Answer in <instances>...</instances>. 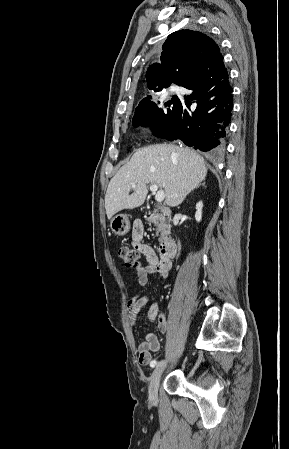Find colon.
<instances>
[{"instance_id":"5ec220e1","label":"colon","mask_w":289,"mask_h":449,"mask_svg":"<svg viewBox=\"0 0 289 449\" xmlns=\"http://www.w3.org/2000/svg\"><path fill=\"white\" fill-rule=\"evenodd\" d=\"M119 257L128 267H140L141 253L132 246H121L118 250Z\"/></svg>"}]
</instances>
